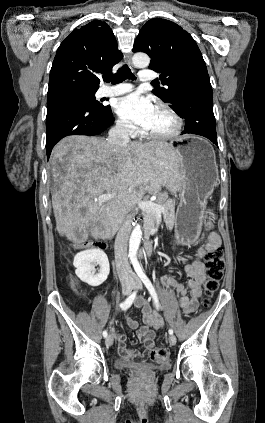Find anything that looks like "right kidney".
Returning <instances> with one entry per match:
<instances>
[{
    "instance_id": "1",
    "label": "right kidney",
    "mask_w": 265,
    "mask_h": 423,
    "mask_svg": "<svg viewBox=\"0 0 265 423\" xmlns=\"http://www.w3.org/2000/svg\"><path fill=\"white\" fill-rule=\"evenodd\" d=\"M73 265L78 278L93 287L101 285L110 272L107 255L103 250L96 248L78 253L74 258ZM96 265L100 267L97 274L94 272Z\"/></svg>"
}]
</instances>
